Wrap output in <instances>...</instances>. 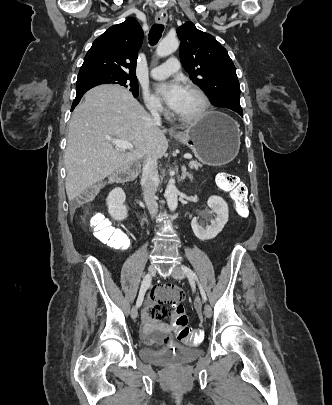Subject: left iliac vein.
<instances>
[{
  "mask_svg": "<svg viewBox=\"0 0 332 405\" xmlns=\"http://www.w3.org/2000/svg\"><path fill=\"white\" fill-rule=\"evenodd\" d=\"M171 275L173 278L178 279V280H182L185 277L183 270L178 266H176L172 269ZM204 315L207 318H210L212 316V309L208 304H205V306H204Z\"/></svg>",
  "mask_w": 332,
  "mask_h": 405,
  "instance_id": "1",
  "label": "left iliac vein"
}]
</instances>
